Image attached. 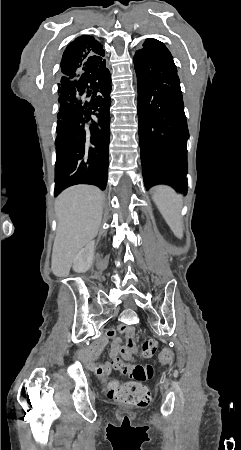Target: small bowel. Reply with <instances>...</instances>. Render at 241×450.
<instances>
[{"instance_id": "c3829d8e", "label": "small bowel", "mask_w": 241, "mask_h": 450, "mask_svg": "<svg viewBox=\"0 0 241 450\" xmlns=\"http://www.w3.org/2000/svg\"><path fill=\"white\" fill-rule=\"evenodd\" d=\"M119 332L121 334L125 335V342L120 337H114L115 333ZM112 333L111 337H114L112 344H111V350H110V360L111 362H106L103 364H97L94 366V371L98 375H104L110 373L112 369V362L120 358L125 364L128 362H131L135 359L136 353H137V336H136V330L134 326L127 325V324H121L117 327V329L110 328L106 331V335L110 337L108 334ZM106 344V339L102 338L98 340L94 347L93 351H91L90 356L93 359H98L101 356L100 350L103 348ZM122 375H127L125 372L121 371Z\"/></svg>"}]
</instances>
